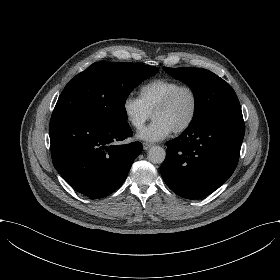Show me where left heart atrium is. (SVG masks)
<instances>
[{
	"label": "left heart atrium",
	"mask_w": 280,
	"mask_h": 280,
	"mask_svg": "<svg viewBox=\"0 0 280 280\" xmlns=\"http://www.w3.org/2000/svg\"><path fill=\"white\" fill-rule=\"evenodd\" d=\"M173 132L174 128L169 123L157 118L148 127L138 132L136 138L146 142H158L169 137Z\"/></svg>",
	"instance_id": "39dd6f15"
}]
</instances>
